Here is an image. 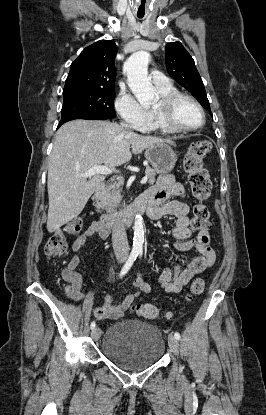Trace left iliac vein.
<instances>
[{
	"label": "left iliac vein",
	"instance_id": "left-iliac-vein-1",
	"mask_svg": "<svg viewBox=\"0 0 266 415\" xmlns=\"http://www.w3.org/2000/svg\"><path fill=\"white\" fill-rule=\"evenodd\" d=\"M168 344H169V347H170L171 351L174 354L178 355V353H179V343H178V340L173 335L168 336Z\"/></svg>",
	"mask_w": 266,
	"mask_h": 415
}]
</instances>
